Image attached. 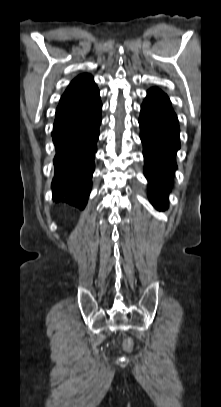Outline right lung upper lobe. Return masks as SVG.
<instances>
[{"mask_svg":"<svg viewBox=\"0 0 221 407\" xmlns=\"http://www.w3.org/2000/svg\"><path fill=\"white\" fill-rule=\"evenodd\" d=\"M96 86L93 77L89 74H81L77 76L69 85L67 90L64 92L63 97L71 95L73 93L91 88Z\"/></svg>","mask_w":221,"mask_h":407,"instance_id":"1","label":"right lung upper lobe"}]
</instances>
